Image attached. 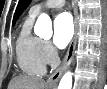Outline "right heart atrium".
<instances>
[{
    "label": "right heart atrium",
    "mask_w": 107,
    "mask_h": 89,
    "mask_svg": "<svg viewBox=\"0 0 107 89\" xmlns=\"http://www.w3.org/2000/svg\"><path fill=\"white\" fill-rule=\"evenodd\" d=\"M42 54L46 64H50L55 59V51L48 41L42 42Z\"/></svg>",
    "instance_id": "obj_1"
}]
</instances>
